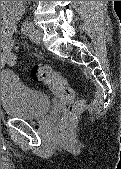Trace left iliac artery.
I'll use <instances>...</instances> for the list:
<instances>
[{"instance_id":"left-iliac-artery-1","label":"left iliac artery","mask_w":121,"mask_h":169,"mask_svg":"<svg viewBox=\"0 0 121 169\" xmlns=\"http://www.w3.org/2000/svg\"><path fill=\"white\" fill-rule=\"evenodd\" d=\"M32 27H33L32 22L27 20V21L23 22L21 30L23 33L27 34V33H29V31Z\"/></svg>"}]
</instances>
